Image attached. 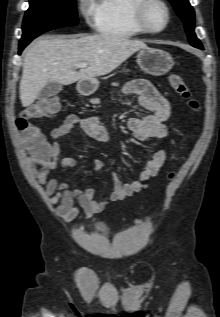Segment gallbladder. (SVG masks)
I'll use <instances>...</instances> for the list:
<instances>
[{"label":"gallbladder","mask_w":220,"mask_h":317,"mask_svg":"<svg viewBox=\"0 0 220 317\" xmlns=\"http://www.w3.org/2000/svg\"><path fill=\"white\" fill-rule=\"evenodd\" d=\"M62 84L58 82H48L44 88L40 91L38 98L39 99H47L52 96L59 94L62 90Z\"/></svg>","instance_id":"obj_1"}]
</instances>
